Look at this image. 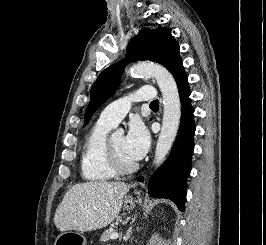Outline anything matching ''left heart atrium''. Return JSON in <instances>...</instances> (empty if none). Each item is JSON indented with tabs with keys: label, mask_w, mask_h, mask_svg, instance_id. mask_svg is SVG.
<instances>
[{
	"label": "left heart atrium",
	"mask_w": 266,
	"mask_h": 245,
	"mask_svg": "<svg viewBox=\"0 0 266 245\" xmlns=\"http://www.w3.org/2000/svg\"><path fill=\"white\" fill-rule=\"evenodd\" d=\"M149 140L144 124L139 120L131 121L123 141V148L129 159L134 163L141 160L149 147Z\"/></svg>",
	"instance_id": "left-heart-atrium-1"
}]
</instances>
